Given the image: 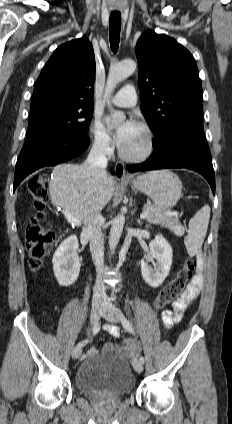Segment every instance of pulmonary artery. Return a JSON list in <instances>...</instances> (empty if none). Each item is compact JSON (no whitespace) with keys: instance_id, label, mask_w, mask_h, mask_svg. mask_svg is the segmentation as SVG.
Returning <instances> with one entry per match:
<instances>
[{"instance_id":"1","label":"pulmonary artery","mask_w":232,"mask_h":424,"mask_svg":"<svg viewBox=\"0 0 232 424\" xmlns=\"http://www.w3.org/2000/svg\"><path fill=\"white\" fill-rule=\"evenodd\" d=\"M118 107H133L137 103V92L133 85H126L111 99Z\"/></svg>"}]
</instances>
